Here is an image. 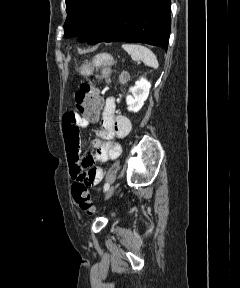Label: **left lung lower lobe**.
Returning <instances> with one entry per match:
<instances>
[{
    "mask_svg": "<svg viewBox=\"0 0 240 288\" xmlns=\"http://www.w3.org/2000/svg\"><path fill=\"white\" fill-rule=\"evenodd\" d=\"M170 0H109L105 14L88 44L137 42L168 47Z\"/></svg>",
    "mask_w": 240,
    "mask_h": 288,
    "instance_id": "1",
    "label": "left lung lower lobe"
}]
</instances>
